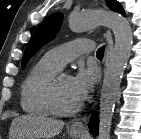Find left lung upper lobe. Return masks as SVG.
Segmentation results:
<instances>
[{
    "label": "left lung upper lobe",
    "instance_id": "5c2ea615",
    "mask_svg": "<svg viewBox=\"0 0 141 139\" xmlns=\"http://www.w3.org/2000/svg\"><path fill=\"white\" fill-rule=\"evenodd\" d=\"M108 7L125 16V12L121 4L116 0H106ZM62 23V14L54 13L48 16L34 31L29 43L27 44L24 57L22 60V68H24L30 58L47 42L52 40Z\"/></svg>",
    "mask_w": 141,
    "mask_h": 139
}]
</instances>
